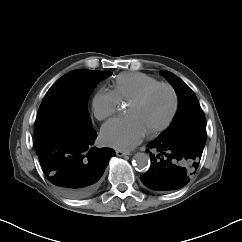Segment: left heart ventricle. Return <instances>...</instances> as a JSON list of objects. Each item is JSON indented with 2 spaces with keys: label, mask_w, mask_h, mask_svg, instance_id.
<instances>
[{
  "label": "left heart ventricle",
  "mask_w": 242,
  "mask_h": 242,
  "mask_svg": "<svg viewBox=\"0 0 242 242\" xmlns=\"http://www.w3.org/2000/svg\"><path fill=\"white\" fill-rule=\"evenodd\" d=\"M173 108V96L169 89L161 87L156 89L142 103H128L126 113L134 116L140 125L149 130L164 123Z\"/></svg>",
  "instance_id": "b2bd125f"
}]
</instances>
